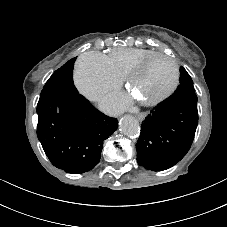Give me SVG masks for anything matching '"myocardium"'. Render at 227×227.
<instances>
[{"label":"myocardium","instance_id":"myocardium-1","mask_svg":"<svg viewBox=\"0 0 227 227\" xmlns=\"http://www.w3.org/2000/svg\"><path fill=\"white\" fill-rule=\"evenodd\" d=\"M157 57H165V58H167L171 61L172 66H173V79H172V82L169 85V87L167 89H165L163 92H160V93H158V94H156V95H154L150 98H147V99H141L140 101L144 105H154V104L164 100L170 94L173 93V91L177 88L178 83H179L180 72H179V66H178L176 59L174 57H172L171 55H168L164 52H155V53H152V54L146 56L142 60H140L134 67H132L129 70V72L126 76L127 85L129 87H132V84L135 80V77L143 70V68L150 61H152L153 59H155Z\"/></svg>","mask_w":227,"mask_h":227}]
</instances>
